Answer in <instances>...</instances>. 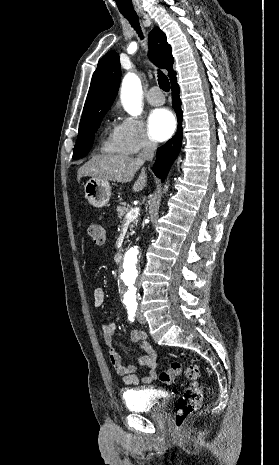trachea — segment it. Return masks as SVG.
<instances>
[{
	"mask_svg": "<svg viewBox=\"0 0 279 465\" xmlns=\"http://www.w3.org/2000/svg\"><path fill=\"white\" fill-rule=\"evenodd\" d=\"M123 16L129 21L133 28L136 29L139 36L143 38L140 26H139V19L137 15H127L123 14ZM158 83L162 90L168 92L170 90V83L168 77L162 72L158 71Z\"/></svg>",
	"mask_w": 279,
	"mask_h": 465,
	"instance_id": "3493384b",
	"label": "trachea"
}]
</instances>
